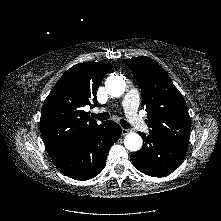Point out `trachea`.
Returning a JSON list of instances; mask_svg holds the SVG:
<instances>
[{
	"mask_svg": "<svg viewBox=\"0 0 221 221\" xmlns=\"http://www.w3.org/2000/svg\"><path fill=\"white\" fill-rule=\"evenodd\" d=\"M92 116L98 120H107L110 117L109 113H106V112L99 113V114H92ZM120 124L125 129H128L130 127L129 123L123 119L120 120Z\"/></svg>",
	"mask_w": 221,
	"mask_h": 221,
	"instance_id": "trachea-1",
	"label": "trachea"
}]
</instances>
